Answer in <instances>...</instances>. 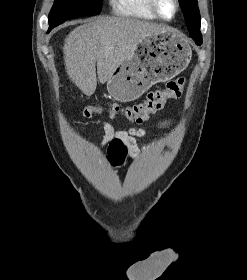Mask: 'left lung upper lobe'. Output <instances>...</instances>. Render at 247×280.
Returning <instances> with one entry per match:
<instances>
[{"label":"left lung upper lobe","mask_w":247,"mask_h":280,"mask_svg":"<svg viewBox=\"0 0 247 280\" xmlns=\"http://www.w3.org/2000/svg\"><path fill=\"white\" fill-rule=\"evenodd\" d=\"M180 5L184 14L186 25L192 34L201 37L200 33V14L198 9L197 0H180Z\"/></svg>","instance_id":"5c2ea615"}]
</instances>
